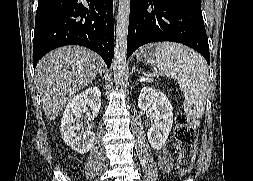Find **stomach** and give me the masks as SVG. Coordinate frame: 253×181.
Returning a JSON list of instances; mask_svg holds the SVG:
<instances>
[{"mask_svg":"<svg viewBox=\"0 0 253 181\" xmlns=\"http://www.w3.org/2000/svg\"><path fill=\"white\" fill-rule=\"evenodd\" d=\"M156 45L157 44H150L147 46L142 47L137 52V60L139 62L149 64V65H155L156 64Z\"/></svg>","mask_w":253,"mask_h":181,"instance_id":"0dacf381","label":"stomach"}]
</instances>
